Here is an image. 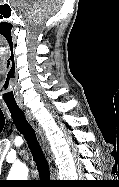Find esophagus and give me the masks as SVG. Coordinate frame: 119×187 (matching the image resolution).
Segmentation results:
<instances>
[{
  "label": "esophagus",
  "mask_w": 119,
  "mask_h": 187,
  "mask_svg": "<svg viewBox=\"0 0 119 187\" xmlns=\"http://www.w3.org/2000/svg\"><path fill=\"white\" fill-rule=\"evenodd\" d=\"M22 108L25 109L24 107H22ZM26 114H27V117L29 118V120L31 121L33 127L35 128L36 132L40 136V138L42 140V143H43V146L45 148V151L47 152L49 163H51L52 162V157L50 156V150H49L48 145L46 144V140L44 139L43 132H42V129H41L38 121L35 119V117L27 109H26Z\"/></svg>",
  "instance_id": "esophagus-1"
}]
</instances>
